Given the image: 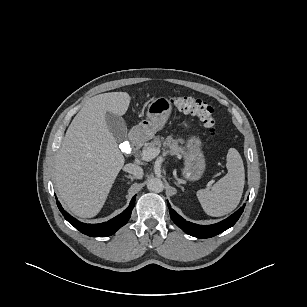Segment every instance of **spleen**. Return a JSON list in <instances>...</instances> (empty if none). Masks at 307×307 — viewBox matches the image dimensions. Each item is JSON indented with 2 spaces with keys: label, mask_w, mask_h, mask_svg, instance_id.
Here are the masks:
<instances>
[{
  "label": "spleen",
  "mask_w": 307,
  "mask_h": 307,
  "mask_svg": "<svg viewBox=\"0 0 307 307\" xmlns=\"http://www.w3.org/2000/svg\"><path fill=\"white\" fill-rule=\"evenodd\" d=\"M226 167L228 173L211 190L200 189L196 193L204 211L213 217L232 212L242 197L245 170L243 160L235 148L228 150Z\"/></svg>",
  "instance_id": "3e777b00"
}]
</instances>
